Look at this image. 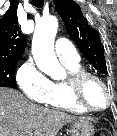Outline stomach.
<instances>
[{"label":"stomach","instance_id":"1","mask_svg":"<svg viewBox=\"0 0 117 136\" xmlns=\"http://www.w3.org/2000/svg\"><path fill=\"white\" fill-rule=\"evenodd\" d=\"M71 136H93L94 127L92 123L85 119H77L71 122Z\"/></svg>","mask_w":117,"mask_h":136}]
</instances>
